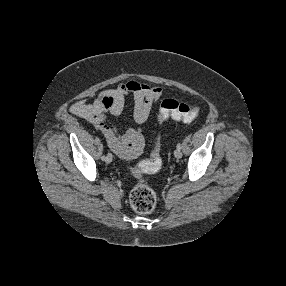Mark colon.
<instances>
[{
    "instance_id": "1",
    "label": "colon",
    "mask_w": 286,
    "mask_h": 286,
    "mask_svg": "<svg viewBox=\"0 0 286 286\" xmlns=\"http://www.w3.org/2000/svg\"><path fill=\"white\" fill-rule=\"evenodd\" d=\"M200 114L197 105L181 103L173 99L164 100L157 115L158 121L162 122L168 118L191 122ZM161 166V160L157 148H154L151 159L143 160L139 164V171L144 173H156ZM130 204L132 208L140 214L152 212L156 206V194L146 183L138 184L130 194Z\"/></svg>"
}]
</instances>
